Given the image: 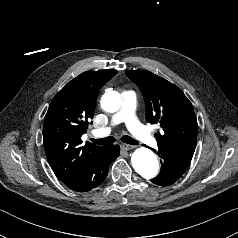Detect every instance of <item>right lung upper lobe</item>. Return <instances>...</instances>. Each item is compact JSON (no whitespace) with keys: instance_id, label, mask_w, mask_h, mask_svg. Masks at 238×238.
Masks as SVG:
<instances>
[{"instance_id":"right-lung-upper-lobe-1","label":"right lung upper lobe","mask_w":238,"mask_h":238,"mask_svg":"<svg viewBox=\"0 0 238 238\" xmlns=\"http://www.w3.org/2000/svg\"><path fill=\"white\" fill-rule=\"evenodd\" d=\"M116 70L86 71L53 98L44 119L43 142L48 162L62 181L76 173L104 146H81L96 106L99 89Z\"/></svg>"}]
</instances>
